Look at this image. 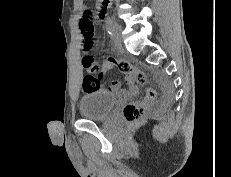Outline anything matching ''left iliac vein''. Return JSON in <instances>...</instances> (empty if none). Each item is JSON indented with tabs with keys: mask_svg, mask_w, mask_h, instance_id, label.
Wrapping results in <instances>:
<instances>
[{
	"mask_svg": "<svg viewBox=\"0 0 231 177\" xmlns=\"http://www.w3.org/2000/svg\"><path fill=\"white\" fill-rule=\"evenodd\" d=\"M112 42L115 46H121L122 44V27L119 23L112 25Z\"/></svg>",
	"mask_w": 231,
	"mask_h": 177,
	"instance_id": "left-iliac-vein-1",
	"label": "left iliac vein"
}]
</instances>
